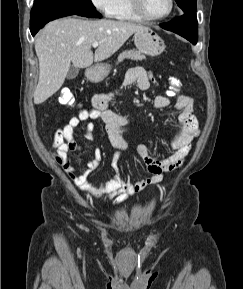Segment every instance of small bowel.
<instances>
[{"label": "small bowel", "mask_w": 243, "mask_h": 289, "mask_svg": "<svg viewBox=\"0 0 243 289\" xmlns=\"http://www.w3.org/2000/svg\"><path fill=\"white\" fill-rule=\"evenodd\" d=\"M150 82L156 84L152 74L137 66L127 71L124 86L136 83L141 90H146L150 86ZM111 98V93L95 94L92 97L91 109L81 108L76 116L71 117L66 124L55 131L53 146L57 149V160L81 192L96 199L112 200V205L118 206L129 196L160 182L164 173L181 166L191 149L193 140L199 135L200 128L194 114L193 100L184 94L178 95L174 107L179 112L177 119L181 124V132L170 142L171 155L166 158H155L149 155L146 145H138L136 153L142 159L150 176L136 183L125 181L120 173V155H116L112 160L113 175L103 187L99 186L90 182L89 176L100 168L102 151L99 148L94 149L93 158L87 163L85 171L81 174L76 173L70 154L82 149L75 138L74 130L89 120H100L104 124L106 136L112 146L122 152L127 150L128 143L122 134V129L131 123V119L108 108ZM169 104L170 100L166 95H158L153 100V106L156 109L166 108ZM94 128L93 123H88L85 130V137L88 140H93Z\"/></svg>", "instance_id": "c3829d8e"}]
</instances>
